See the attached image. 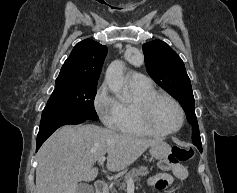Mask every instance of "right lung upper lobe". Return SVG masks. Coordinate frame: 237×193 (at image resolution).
I'll return each mask as SVG.
<instances>
[{
  "label": "right lung upper lobe",
  "instance_id": "1",
  "mask_svg": "<svg viewBox=\"0 0 237 193\" xmlns=\"http://www.w3.org/2000/svg\"><path fill=\"white\" fill-rule=\"evenodd\" d=\"M107 54V47L85 39L73 48L57 79L97 83Z\"/></svg>",
  "mask_w": 237,
  "mask_h": 193
}]
</instances>
